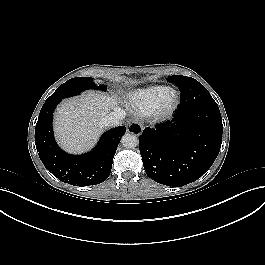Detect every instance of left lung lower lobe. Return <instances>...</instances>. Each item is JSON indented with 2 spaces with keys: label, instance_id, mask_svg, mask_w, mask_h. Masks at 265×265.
I'll return each instance as SVG.
<instances>
[{
  "label": "left lung lower lobe",
  "instance_id": "1",
  "mask_svg": "<svg viewBox=\"0 0 265 265\" xmlns=\"http://www.w3.org/2000/svg\"><path fill=\"white\" fill-rule=\"evenodd\" d=\"M181 103L171 121L145 128L139 136L146 174L154 181L182 187L213 164L222 143L218 105L204 101L205 87L195 81L179 86Z\"/></svg>",
  "mask_w": 265,
  "mask_h": 265
}]
</instances>
